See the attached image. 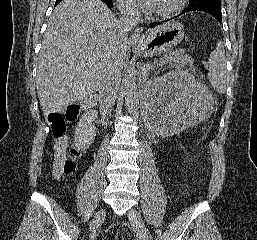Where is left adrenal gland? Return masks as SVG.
Listing matches in <instances>:
<instances>
[{
  "label": "left adrenal gland",
  "mask_w": 257,
  "mask_h": 240,
  "mask_svg": "<svg viewBox=\"0 0 257 240\" xmlns=\"http://www.w3.org/2000/svg\"><path fill=\"white\" fill-rule=\"evenodd\" d=\"M145 79H146V76H143L142 80L145 81Z\"/></svg>",
  "instance_id": "1"
}]
</instances>
